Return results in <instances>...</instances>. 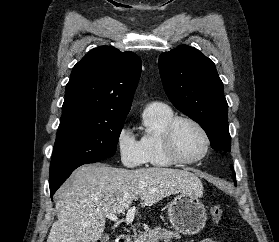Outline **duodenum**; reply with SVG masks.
Returning a JSON list of instances; mask_svg holds the SVG:
<instances>
[{"label":"duodenum","instance_id":"duodenum-1","mask_svg":"<svg viewBox=\"0 0 279 242\" xmlns=\"http://www.w3.org/2000/svg\"><path fill=\"white\" fill-rule=\"evenodd\" d=\"M116 242H131V238L127 235H119Z\"/></svg>","mask_w":279,"mask_h":242}]
</instances>
